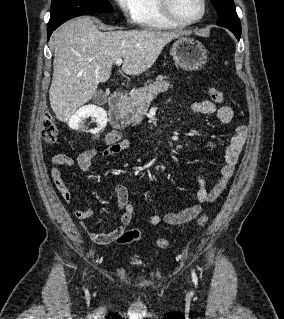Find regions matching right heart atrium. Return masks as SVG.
<instances>
[{
    "label": "right heart atrium",
    "instance_id": "d8ad5b80",
    "mask_svg": "<svg viewBox=\"0 0 284 319\" xmlns=\"http://www.w3.org/2000/svg\"><path fill=\"white\" fill-rule=\"evenodd\" d=\"M140 0H114L126 21L130 24L137 23Z\"/></svg>",
    "mask_w": 284,
    "mask_h": 319
}]
</instances>
